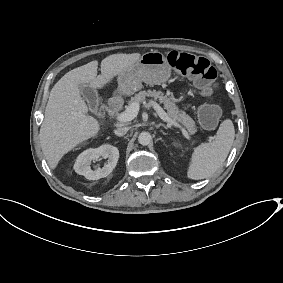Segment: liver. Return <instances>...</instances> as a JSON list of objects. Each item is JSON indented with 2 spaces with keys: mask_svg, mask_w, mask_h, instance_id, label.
<instances>
[{
  "mask_svg": "<svg viewBox=\"0 0 283 283\" xmlns=\"http://www.w3.org/2000/svg\"><path fill=\"white\" fill-rule=\"evenodd\" d=\"M140 59L139 53L113 54L101 62L91 61L67 72L52 88L40 128V145L50 166L54 169L64 154L79 143L94 137L100 130L98 121L86 115L88 107L80 95V85L101 88L125 68Z\"/></svg>",
  "mask_w": 283,
  "mask_h": 283,
  "instance_id": "liver-1",
  "label": "liver"
}]
</instances>
